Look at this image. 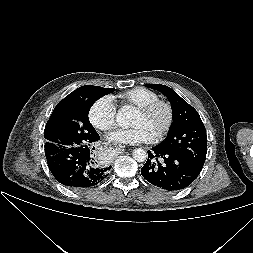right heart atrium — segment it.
<instances>
[{
	"mask_svg": "<svg viewBox=\"0 0 253 253\" xmlns=\"http://www.w3.org/2000/svg\"><path fill=\"white\" fill-rule=\"evenodd\" d=\"M117 108L111 96L98 98L90 107L89 120L101 131H108L116 125Z\"/></svg>",
	"mask_w": 253,
	"mask_h": 253,
	"instance_id": "d8ad5b80",
	"label": "right heart atrium"
}]
</instances>
